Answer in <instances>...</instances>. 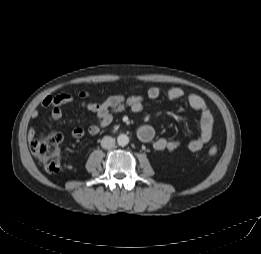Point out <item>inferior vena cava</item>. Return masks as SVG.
Masks as SVG:
<instances>
[{
  "label": "inferior vena cava",
  "mask_w": 261,
  "mask_h": 254,
  "mask_svg": "<svg viewBox=\"0 0 261 254\" xmlns=\"http://www.w3.org/2000/svg\"><path fill=\"white\" fill-rule=\"evenodd\" d=\"M101 146L104 149H111L115 146V139L110 136H105L101 140Z\"/></svg>",
  "instance_id": "1"
}]
</instances>
